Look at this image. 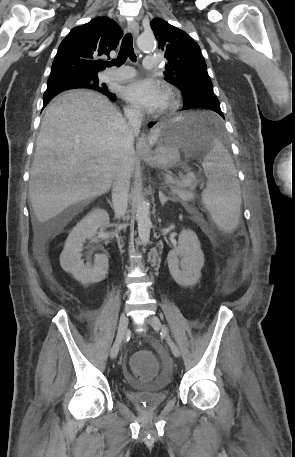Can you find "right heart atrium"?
Returning <instances> with one entry per match:
<instances>
[{"label": "right heart atrium", "mask_w": 295, "mask_h": 457, "mask_svg": "<svg viewBox=\"0 0 295 457\" xmlns=\"http://www.w3.org/2000/svg\"><path fill=\"white\" fill-rule=\"evenodd\" d=\"M127 113L130 115V116H133V117H137L139 116L140 112L138 111V109L134 108V107H128L127 108Z\"/></svg>", "instance_id": "d8ad5b80"}]
</instances>
